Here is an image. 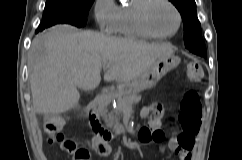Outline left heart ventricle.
<instances>
[{"mask_svg":"<svg viewBox=\"0 0 242 160\" xmlns=\"http://www.w3.org/2000/svg\"><path fill=\"white\" fill-rule=\"evenodd\" d=\"M148 22L157 33L170 34L177 26V16L174 10L164 2H155L148 10Z\"/></svg>","mask_w":242,"mask_h":160,"instance_id":"obj_1","label":"left heart ventricle"}]
</instances>
